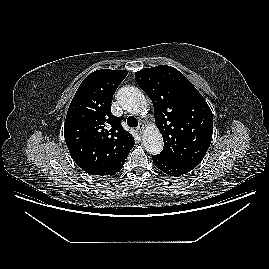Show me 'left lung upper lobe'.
<instances>
[{
	"label": "left lung upper lobe",
	"mask_w": 269,
	"mask_h": 269,
	"mask_svg": "<svg viewBox=\"0 0 269 269\" xmlns=\"http://www.w3.org/2000/svg\"><path fill=\"white\" fill-rule=\"evenodd\" d=\"M135 79L153 102L155 122L164 140L159 156L197 166L213 133V115L203 96L171 66L144 68Z\"/></svg>",
	"instance_id": "obj_1"
}]
</instances>
